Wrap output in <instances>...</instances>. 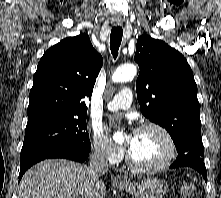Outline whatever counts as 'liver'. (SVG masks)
Returning a JSON list of instances; mask_svg holds the SVG:
<instances>
[{
    "instance_id": "liver-1",
    "label": "liver",
    "mask_w": 221,
    "mask_h": 198,
    "mask_svg": "<svg viewBox=\"0 0 221 198\" xmlns=\"http://www.w3.org/2000/svg\"><path fill=\"white\" fill-rule=\"evenodd\" d=\"M106 187L89 167L63 159L45 160L21 179L18 198H104Z\"/></svg>"
}]
</instances>
